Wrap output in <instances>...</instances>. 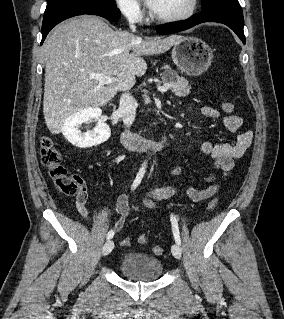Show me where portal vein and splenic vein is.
<instances>
[{
	"label": "portal vein and splenic vein",
	"mask_w": 284,
	"mask_h": 319,
	"mask_svg": "<svg viewBox=\"0 0 284 319\" xmlns=\"http://www.w3.org/2000/svg\"><path fill=\"white\" fill-rule=\"evenodd\" d=\"M92 78L96 79L100 84H111L112 82H114V78L111 76H105V75H93ZM171 87L170 84H167L165 86H158L157 90L164 93L166 92L169 88Z\"/></svg>",
	"instance_id": "1"
}]
</instances>
